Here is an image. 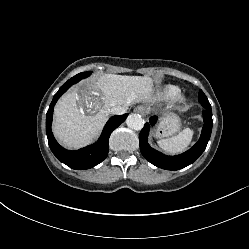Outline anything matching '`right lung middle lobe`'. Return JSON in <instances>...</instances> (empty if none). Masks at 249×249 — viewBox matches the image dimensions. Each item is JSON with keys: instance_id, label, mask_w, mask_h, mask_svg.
<instances>
[{"instance_id": "1", "label": "right lung middle lobe", "mask_w": 249, "mask_h": 249, "mask_svg": "<svg viewBox=\"0 0 249 249\" xmlns=\"http://www.w3.org/2000/svg\"><path fill=\"white\" fill-rule=\"evenodd\" d=\"M91 74V72H83V73H79V76H82L83 78L88 77Z\"/></svg>"}]
</instances>
